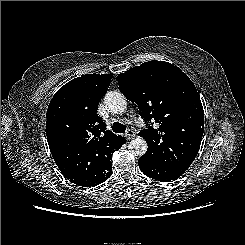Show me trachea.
Wrapping results in <instances>:
<instances>
[{
    "label": "trachea",
    "mask_w": 245,
    "mask_h": 245,
    "mask_svg": "<svg viewBox=\"0 0 245 245\" xmlns=\"http://www.w3.org/2000/svg\"><path fill=\"white\" fill-rule=\"evenodd\" d=\"M112 129L115 133H124L126 130L125 126L119 122L113 123Z\"/></svg>",
    "instance_id": "3493384b"
}]
</instances>
